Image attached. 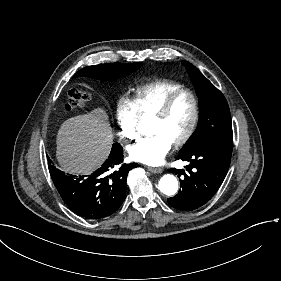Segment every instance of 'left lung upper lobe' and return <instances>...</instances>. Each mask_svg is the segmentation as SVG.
Segmentation results:
<instances>
[{
    "mask_svg": "<svg viewBox=\"0 0 281 281\" xmlns=\"http://www.w3.org/2000/svg\"><path fill=\"white\" fill-rule=\"evenodd\" d=\"M194 84L199 98V121L196 130L180 152L210 146L232 153V124L224 95L188 61H181Z\"/></svg>",
    "mask_w": 281,
    "mask_h": 281,
    "instance_id": "obj_1",
    "label": "left lung upper lobe"
}]
</instances>
